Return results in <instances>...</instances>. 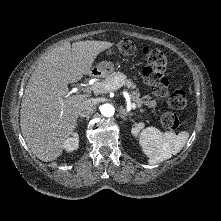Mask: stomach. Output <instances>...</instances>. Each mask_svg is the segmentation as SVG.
Returning a JSON list of instances; mask_svg holds the SVG:
<instances>
[{
	"label": "stomach",
	"instance_id": "0dacf381",
	"mask_svg": "<svg viewBox=\"0 0 221 221\" xmlns=\"http://www.w3.org/2000/svg\"><path fill=\"white\" fill-rule=\"evenodd\" d=\"M115 69L113 62L111 61H102L98 66H96L93 70V73L105 77L108 74L112 73Z\"/></svg>",
	"mask_w": 221,
	"mask_h": 221
}]
</instances>
